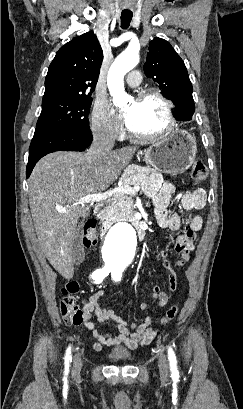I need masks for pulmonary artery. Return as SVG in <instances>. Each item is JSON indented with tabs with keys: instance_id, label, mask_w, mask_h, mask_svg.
I'll return each instance as SVG.
<instances>
[{
	"instance_id": "1",
	"label": "pulmonary artery",
	"mask_w": 243,
	"mask_h": 409,
	"mask_svg": "<svg viewBox=\"0 0 243 409\" xmlns=\"http://www.w3.org/2000/svg\"><path fill=\"white\" fill-rule=\"evenodd\" d=\"M126 82L131 87H136L141 82V74L139 71H131L126 78Z\"/></svg>"
}]
</instances>
